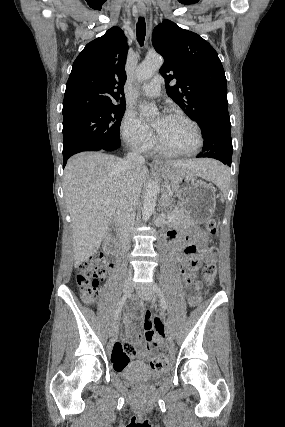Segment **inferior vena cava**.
I'll return each mask as SVG.
<instances>
[{
    "instance_id": "602c4592",
    "label": "inferior vena cava",
    "mask_w": 285,
    "mask_h": 427,
    "mask_svg": "<svg viewBox=\"0 0 285 427\" xmlns=\"http://www.w3.org/2000/svg\"><path fill=\"white\" fill-rule=\"evenodd\" d=\"M145 163L143 156L129 152L125 159V167L129 172L135 171ZM137 197L134 194H125L118 204L116 211V220L120 229L122 245L124 249L130 247V233L133 229L135 217L133 214L136 206Z\"/></svg>"
}]
</instances>
